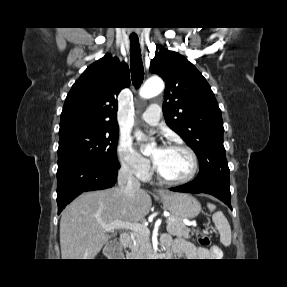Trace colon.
I'll use <instances>...</instances> for the list:
<instances>
[{
  "mask_svg": "<svg viewBox=\"0 0 287 287\" xmlns=\"http://www.w3.org/2000/svg\"><path fill=\"white\" fill-rule=\"evenodd\" d=\"M198 242L201 246L207 247L211 245V237L209 234L205 231H201L198 234ZM112 252L114 254H117L119 252V245L117 243H114L112 246Z\"/></svg>",
  "mask_w": 287,
  "mask_h": 287,
  "instance_id": "colon-1",
  "label": "colon"
}]
</instances>
